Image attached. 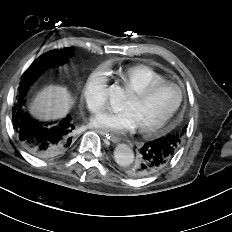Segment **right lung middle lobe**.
<instances>
[{"label":"right lung middle lobe","instance_id":"dd1d6c3e","mask_svg":"<svg viewBox=\"0 0 232 232\" xmlns=\"http://www.w3.org/2000/svg\"><path fill=\"white\" fill-rule=\"evenodd\" d=\"M72 54V50L64 48L59 52L49 51L38 57L22 75L20 87L30 86L45 69L51 65L64 64L66 61L62 60L61 57H68ZM19 87V88H20Z\"/></svg>","mask_w":232,"mask_h":232}]
</instances>
